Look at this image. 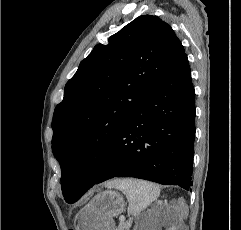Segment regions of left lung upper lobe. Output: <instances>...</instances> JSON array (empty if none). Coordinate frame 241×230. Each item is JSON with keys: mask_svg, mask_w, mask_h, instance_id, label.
I'll list each match as a JSON object with an SVG mask.
<instances>
[{"mask_svg": "<svg viewBox=\"0 0 241 230\" xmlns=\"http://www.w3.org/2000/svg\"><path fill=\"white\" fill-rule=\"evenodd\" d=\"M185 50L157 16H139L98 44L67 82L54 111L52 151L61 165L65 200H78L80 160L120 133L145 96L176 66Z\"/></svg>", "mask_w": 241, "mask_h": 230, "instance_id": "1", "label": "left lung upper lobe"}]
</instances>
